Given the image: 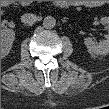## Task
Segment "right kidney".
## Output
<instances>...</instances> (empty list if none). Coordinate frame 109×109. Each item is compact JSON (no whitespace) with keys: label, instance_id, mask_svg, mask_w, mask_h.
Returning <instances> with one entry per match:
<instances>
[{"label":"right kidney","instance_id":"right-kidney-1","mask_svg":"<svg viewBox=\"0 0 109 109\" xmlns=\"http://www.w3.org/2000/svg\"><path fill=\"white\" fill-rule=\"evenodd\" d=\"M15 39V32L12 29H2L1 31V55H8Z\"/></svg>","mask_w":109,"mask_h":109}]
</instances>
